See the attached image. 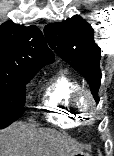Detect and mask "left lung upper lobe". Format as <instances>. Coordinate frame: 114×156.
Returning <instances> with one entry per match:
<instances>
[{"label":"left lung upper lobe","mask_w":114,"mask_h":156,"mask_svg":"<svg viewBox=\"0 0 114 156\" xmlns=\"http://www.w3.org/2000/svg\"><path fill=\"white\" fill-rule=\"evenodd\" d=\"M44 33L49 46L57 55L83 74L98 102L102 76L99 68L101 50L94 42L91 25L75 15L66 21L46 25Z\"/></svg>","instance_id":"5c2ea615"}]
</instances>
